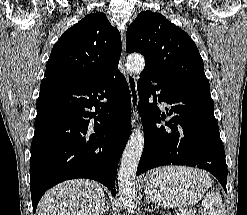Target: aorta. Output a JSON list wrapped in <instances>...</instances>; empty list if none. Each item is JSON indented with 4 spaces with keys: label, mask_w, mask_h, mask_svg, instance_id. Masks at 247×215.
<instances>
[{
    "label": "aorta",
    "mask_w": 247,
    "mask_h": 215,
    "mask_svg": "<svg viewBox=\"0 0 247 215\" xmlns=\"http://www.w3.org/2000/svg\"><path fill=\"white\" fill-rule=\"evenodd\" d=\"M145 66V59L140 54L127 57V67L131 73L139 75ZM144 148V132L141 125L132 131L124 149L118 171V190L120 199L128 212H133L135 198V177L140 157Z\"/></svg>",
    "instance_id": "aorta-1"
}]
</instances>
